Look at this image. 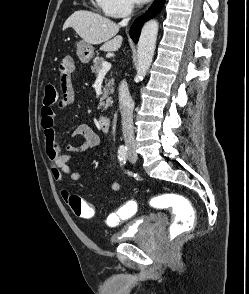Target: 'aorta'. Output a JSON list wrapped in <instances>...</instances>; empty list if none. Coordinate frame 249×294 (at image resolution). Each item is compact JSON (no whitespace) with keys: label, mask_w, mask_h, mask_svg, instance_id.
Masks as SVG:
<instances>
[{"label":"aorta","mask_w":249,"mask_h":294,"mask_svg":"<svg viewBox=\"0 0 249 294\" xmlns=\"http://www.w3.org/2000/svg\"><path fill=\"white\" fill-rule=\"evenodd\" d=\"M158 28V22L150 20L145 23L141 30L137 45V80H142L150 68L155 52Z\"/></svg>","instance_id":"aorta-1"}]
</instances>
